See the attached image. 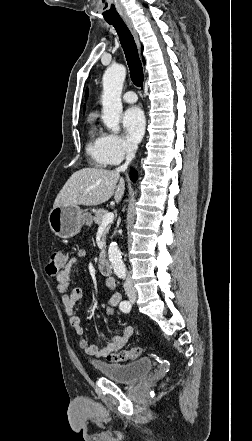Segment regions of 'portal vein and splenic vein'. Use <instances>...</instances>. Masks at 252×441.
<instances>
[{
  "mask_svg": "<svg viewBox=\"0 0 252 441\" xmlns=\"http://www.w3.org/2000/svg\"><path fill=\"white\" fill-rule=\"evenodd\" d=\"M114 220V214L112 212L107 213L102 218L101 226H107L108 224L112 223Z\"/></svg>",
  "mask_w": 252,
  "mask_h": 441,
  "instance_id": "obj_1",
  "label": "portal vein and splenic vein"
}]
</instances>
